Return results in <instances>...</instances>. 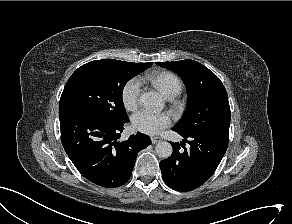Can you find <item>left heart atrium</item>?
<instances>
[{
  "label": "left heart atrium",
  "instance_id": "39dd6f15",
  "mask_svg": "<svg viewBox=\"0 0 292 224\" xmlns=\"http://www.w3.org/2000/svg\"><path fill=\"white\" fill-rule=\"evenodd\" d=\"M170 123L171 119L167 114H157L146 109L138 111L132 117V124L136 130L151 135L159 133Z\"/></svg>",
  "mask_w": 292,
  "mask_h": 224
}]
</instances>
